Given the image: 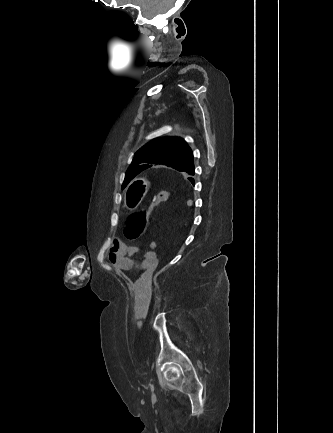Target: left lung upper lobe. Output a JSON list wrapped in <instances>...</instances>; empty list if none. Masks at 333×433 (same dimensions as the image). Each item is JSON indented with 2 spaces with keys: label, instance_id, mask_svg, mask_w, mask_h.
<instances>
[{
  "label": "left lung upper lobe",
  "instance_id": "1",
  "mask_svg": "<svg viewBox=\"0 0 333 433\" xmlns=\"http://www.w3.org/2000/svg\"><path fill=\"white\" fill-rule=\"evenodd\" d=\"M156 164L184 171L194 164L193 152L186 141L176 137L159 138L147 143L135 153L122 188L138 175L145 165Z\"/></svg>",
  "mask_w": 333,
  "mask_h": 433
}]
</instances>
